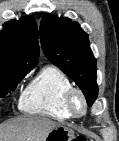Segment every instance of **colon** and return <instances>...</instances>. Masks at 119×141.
I'll return each mask as SVG.
<instances>
[{
	"label": "colon",
	"instance_id": "5ec220e1",
	"mask_svg": "<svg viewBox=\"0 0 119 141\" xmlns=\"http://www.w3.org/2000/svg\"><path fill=\"white\" fill-rule=\"evenodd\" d=\"M83 140H84V137L78 136L74 141H83Z\"/></svg>",
	"mask_w": 119,
	"mask_h": 141
}]
</instances>
